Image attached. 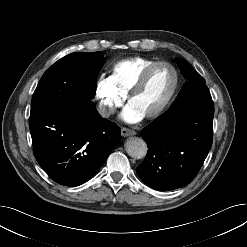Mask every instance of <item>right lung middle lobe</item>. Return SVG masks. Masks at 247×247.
<instances>
[{"label":"right lung middle lobe","instance_id":"obj_1","mask_svg":"<svg viewBox=\"0 0 247 247\" xmlns=\"http://www.w3.org/2000/svg\"><path fill=\"white\" fill-rule=\"evenodd\" d=\"M104 62L102 52H75L58 60L43 74L32 97L31 112L52 101L94 108L91 99Z\"/></svg>","mask_w":247,"mask_h":247}]
</instances>
